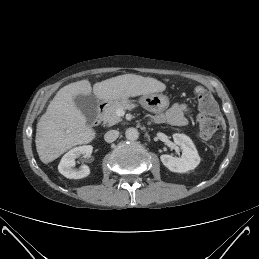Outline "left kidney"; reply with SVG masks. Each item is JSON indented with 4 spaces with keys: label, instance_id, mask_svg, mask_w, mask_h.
I'll use <instances>...</instances> for the list:
<instances>
[{
    "label": "left kidney",
    "instance_id": "left-kidney-1",
    "mask_svg": "<svg viewBox=\"0 0 259 259\" xmlns=\"http://www.w3.org/2000/svg\"><path fill=\"white\" fill-rule=\"evenodd\" d=\"M173 140L182 150L181 157L168 154L160 156L161 162L172 172L185 173L195 169L200 163V157L192 140L185 134H174Z\"/></svg>",
    "mask_w": 259,
    "mask_h": 259
}]
</instances>
